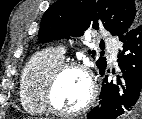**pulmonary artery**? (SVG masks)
<instances>
[{
	"label": "pulmonary artery",
	"mask_w": 142,
	"mask_h": 119,
	"mask_svg": "<svg viewBox=\"0 0 142 119\" xmlns=\"http://www.w3.org/2000/svg\"><path fill=\"white\" fill-rule=\"evenodd\" d=\"M103 40L105 44L108 46L110 54H111V59L113 62H116L117 59V45L114 43V41L106 36L103 37ZM61 56L64 55L65 50L63 48H59L57 50Z\"/></svg>",
	"instance_id": "obj_1"
}]
</instances>
